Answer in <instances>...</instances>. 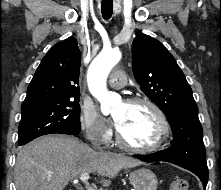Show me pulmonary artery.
I'll return each instance as SVG.
<instances>
[{
  "label": "pulmonary artery",
  "mask_w": 221,
  "mask_h": 190,
  "mask_svg": "<svg viewBox=\"0 0 221 190\" xmlns=\"http://www.w3.org/2000/svg\"><path fill=\"white\" fill-rule=\"evenodd\" d=\"M109 84L115 88H121L126 84V75L122 70L114 71L109 79Z\"/></svg>",
  "instance_id": "pulmonary-artery-1"
}]
</instances>
